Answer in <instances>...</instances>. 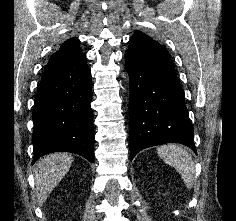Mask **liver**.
I'll use <instances>...</instances> for the list:
<instances>
[{
  "label": "liver",
  "mask_w": 236,
  "mask_h": 221,
  "mask_svg": "<svg viewBox=\"0 0 236 221\" xmlns=\"http://www.w3.org/2000/svg\"><path fill=\"white\" fill-rule=\"evenodd\" d=\"M74 159L67 153H53L41 158L34 169L36 198L42 205L69 171Z\"/></svg>",
  "instance_id": "obj_1"
}]
</instances>
